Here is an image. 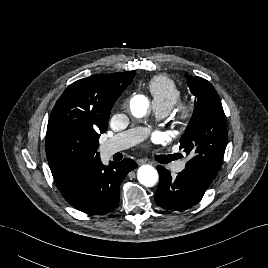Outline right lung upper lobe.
I'll return each mask as SVG.
<instances>
[{
	"instance_id": "cb5924a9",
	"label": "right lung upper lobe",
	"mask_w": 268,
	"mask_h": 268,
	"mask_svg": "<svg viewBox=\"0 0 268 268\" xmlns=\"http://www.w3.org/2000/svg\"><path fill=\"white\" fill-rule=\"evenodd\" d=\"M134 76L135 71L99 74L69 85L51 112L46 138L57 132L84 135L91 131L100 137V133H104L108 128L110 112L115 101L132 82ZM98 160L100 157L94 162ZM94 162L73 174L52 172L65 198L76 189L78 182Z\"/></svg>"
}]
</instances>
